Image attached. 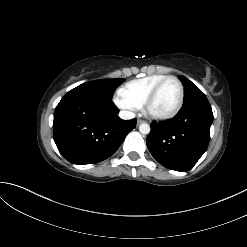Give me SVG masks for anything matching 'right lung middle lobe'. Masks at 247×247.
I'll use <instances>...</instances> for the list:
<instances>
[{"instance_id": "right-lung-middle-lobe-1", "label": "right lung middle lobe", "mask_w": 247, "mask_h": 247, "mask_svg": "<svg viewBox=\"0 0 247 247\" xmlns=\"http://www.w3.org/2000/svg\"><path fill=\"white\" fill-rule=\"evenodd\" d=\"M125 79H100L87 83H83L76 88L69 91L70 93H81L86 95H97L112 99L114 90L122 83Z\"/></svg>"}]
</instances>
